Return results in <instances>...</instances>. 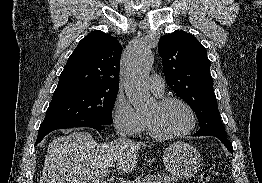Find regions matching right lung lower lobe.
I'll return each instance as SVG.
<instances>
[{
    "instance_id": "right-lung-lower-lobe-1",
    "label": "right lung lower lobe",
    "mask_w": 262,
    "mask_h": 183,
    "mask_svg": "<svg viewBox=\"0 0 262 183\" xmlns=\"http://www.w3.org/2000/svg\"><path fill=\"white\" fill-rule=\"evenodd\" d=\"M107 125L91 124L88 122H54L49 124H42L38 131V144L48 133L57 129L73 128V127H92L94 129L103 130Z\"/></svg>"
}]
</instances>
